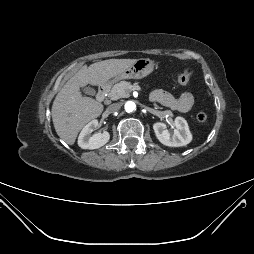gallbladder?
<instances>
[{
	"mask_svg": "<svg viewBox=\"0 0 254 254\" xmlns=\"http://www.w3.org/2000/svg\"><path fill=\"white\" fill-rule=\"evenodd\" d=\"M82 90L87 95H95V90L91 87H84Z\"/></svg>",
	"mask_w": 254,
	"mask_h": 254,
	"instance_id": "1",
	"label": "gallbladder"
}]
</instances>
